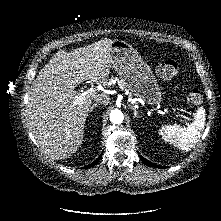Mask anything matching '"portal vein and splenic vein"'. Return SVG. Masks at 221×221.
<instances>
[{"label": "portal vein and splenic vein", "instance_id": "obj_1", "mask_svg": "<svg viewBox=\"0 0 221 221\" xmlns=\"http://www.w3.org/2000/svg\"><path fill=\"white\" fill-rule=\"evenodd\" d=\"M95 93H96L95 88H90V89L85 90V91L82 90L81 94L75 98V102L80 103L83 100H85V98H87L88 96L94 95ZM162 113L166 114V115H170L168 111H163Z\"/></svg>", "mask_w": 221, "mask_h": 221}]
</instances>
